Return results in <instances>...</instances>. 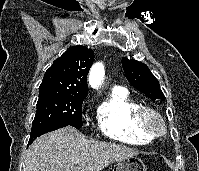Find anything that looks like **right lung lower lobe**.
I'll return each mask as SVG.
<instances>
[{
	"label": "right lung lower lobe",
	"instance_id": "98d812e1",
	"mask_svg": "<svg viewBox=\"0 0 199 171\" xmlns=\"http://www.w3.org/2000/svg\"><path fill=\"white\" fill-rule=\"evenodd\" d=\"M68 126V124L61 123V122H51V123H41L32 127L30 139L28 142V146L39 136L54 131L56 129ZM27 146V147H28Z\"/></svg>",
	"mask_w": 199,
	"mask_h": 171
}]
</instances>
